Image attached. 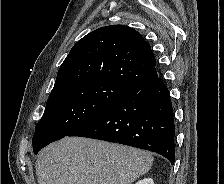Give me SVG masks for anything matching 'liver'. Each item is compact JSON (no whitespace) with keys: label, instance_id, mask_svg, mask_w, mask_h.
Masks as SVG:
<instances>
[{"label":"liver","instance_id":"6515ba94","mask_svg":"<svg viewBox=\"0 0 224 184\" xmlns=\"http://www.w3.org/2000/svg\"><path fill=\"white\" fill-rule=\"evenodd\" d=\"M153 164L150 152L105 141L65 137L42 149L39 184H132Z\"/></svg>","mask_w":224,"mask_h":184}]
</instances>
